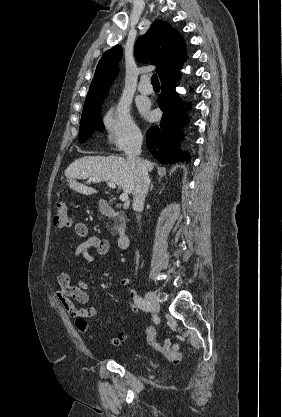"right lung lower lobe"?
Instances as JSON below:
<instances>
[{
  "instance_id": "obj_1",
  "label": "right lung lower lobe",
  "mask_w": 282,
  "mask_h": 417,
  "mask_svg": "<svg viewBox=\"0 0 282 417\" xmlns=\"http://www.w3.org/2000/svg\"><path fill=\"white\" fill-rule=\"evenodd\" d=\"M181 68L182 64L161 78V93L157 102L163 112L162 119L159 126L151 127L146 134L149 151L162 164L190 161L189 153L178 149L183 126L188 123L187 108L183 107L175 91Z\"/></svg>"
}]
</instances>
